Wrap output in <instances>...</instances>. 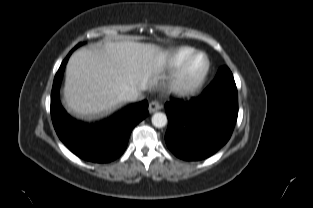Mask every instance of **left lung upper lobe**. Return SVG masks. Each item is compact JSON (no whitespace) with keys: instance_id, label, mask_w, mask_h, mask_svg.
Here are the masks:
<instances>
[{"instance_id":"left-lung-upper-lobe-1","label":"left lung upper lobe","mask_w":313,"mask_h":208,"mask_svg":"<svg viewBox=\"0 0 313 208\" xmlns=\"http://www.w3.org/2000/svg\"><path fill=\"white\" fill-rule=\"evenodd\" d=\"M215 79L223 80V81H229L234 82L233 75L228 67L223 66L219 69Z\"/></svg>"}]
</instances>
